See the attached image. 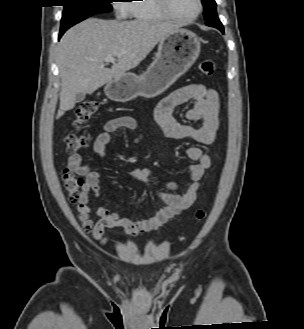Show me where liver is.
<instances>
[{
  "mask_svg": "<svg viewBox=\"0 0 304 329\" xmlns=\"http://www.w3.org/2000/svg\"><path fill=\"white\" fill-rule=\"evenodd\" d=\"M179 28L171 22L134 20L119 22L89 18L70 28L58 45L61 77L57 118L75 107L79 92L93 93L137 67L158 42ZM118 62L105 67V58Z\"/></svg>",
  "mask_w": 304,
  "mask_h": 329,
  "instance_id": "6515ba94",
  "label": "liver"
}]
</instances>
